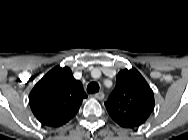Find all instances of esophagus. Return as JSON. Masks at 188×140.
Masks as SVG:
<instances>
[{
	"instance_id": "esophagus-1",
	"label": "esophagus",
	"mask_w": 188,
	"mask_h": 140,
	"mask_svg": "<svg viewBox=\"0 0 188 140\" xmlns=\"http://www.w3.org/2000/svg\"><path fill=\"white\" fill-rule=\"evenodd\" d=\"M104 93L103 92H98L96 94H94V97L98 100H103L104 99Z\"/></svg>"
}]
</instances>
